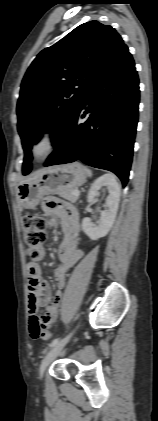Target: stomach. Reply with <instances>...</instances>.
Returning a JSON list of instances; mask_svg holds the SVG:
<instances>
[{"mask_svg":"<svg viewBox=\"0 0 158 421\" xmlns=\"http://www.w3.org/2000/svg\"><path fill=\"white\" fill-rule=\"evenodd\" d=\"M85 181L86 172L78 162L53 166L37 178L20 183L18 199L24 208L34 209L44 195L75 189Z\"/></svg>","mask_w":158,"mask_h":421,"instance_id":"0dacf381","label":"stomach"}]
</instances>
